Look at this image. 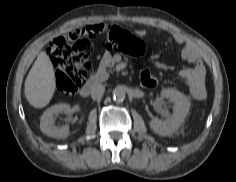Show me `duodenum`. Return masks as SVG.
Returning a JSON list of instances; mask_svg holds the SVG:
<instances>
[{"instance_id": "1", "label": "duodenum", "mask_w": 236, "mask_h": 182, "mask_svg": "<svg viewBox=\"0 0 236 182\" xmlns=\"http://www.w3.org/2000/svg\"><path fill=\"white\" fill-rule=\"evenodd\" d=\"M105 78V73L101 71L98 75L92 76L81 88L80 94L83 97L88 96L92 90L100 84Z\"/></svg>"}]
</instances>
